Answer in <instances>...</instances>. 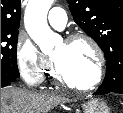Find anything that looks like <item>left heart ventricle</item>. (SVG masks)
I'll return each mask as SVG.
<instances>
[{"mask_svg": "<svg viewBox=\"0 0 123 113\" xmlns=\"http://www.w3.org/2000/svg\"><path fill=\"white\" fill-rule=\"evenodd\" d=\"M52 57L57 61L64 74L71 81L86 85L97 72V58L92 47L85 41L72 44L61 43Z\"/></svg>", "mask_w": 123, "mask_h": 113, "instance_id": "1", "label": "left heart ventricle"}]
</instances>
